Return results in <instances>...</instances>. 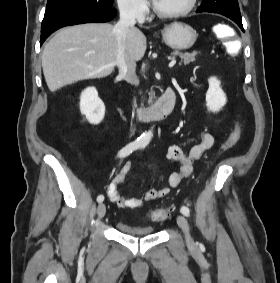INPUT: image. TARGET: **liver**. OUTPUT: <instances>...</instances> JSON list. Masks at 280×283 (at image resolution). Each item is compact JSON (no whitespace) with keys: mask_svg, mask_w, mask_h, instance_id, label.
Segmentation results:
<instances>
[{"mask_svg":"<svg viewBox=\"0 0 280 283\" xmlns=\"http://www.w3.org/2000/svg\"><path fill=\"white\" fill-rule=\"evenodd\" d=\"M145 35L131 27L126 40V52L131 60L140 61L146 51ZM114 26L108 23H88L64 28L46 44L42 68L48 88L57 91L82 79L110 75L115 63Z\"/></svg>","mask_w":280,"mask_h":283,"instance_id":"obj_1","label":"liver"}]
</instances>
